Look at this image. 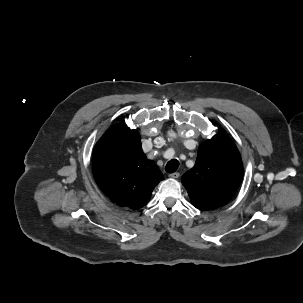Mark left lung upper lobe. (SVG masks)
I'll list each match as a JSON object with an SVG mask.
<instances>
[{
    "label": "left lung upper lobe",
    "mask_w": 303,
    "mask_h": 303,
    "mask_svg": "<svg viewBox=\"0 0 303 303\" xmlns=\"http://www.w3.org/2000/svg\"><path fill=\"white\" fill-rule=\"evenodd\" d=\"M243 177L241 156L227 134L221 132L201 144L196 163L182 176L193 206L216 209L237 191Z\"/></svg>",
    "instance_id": "obj_1"
}]
</instances>
